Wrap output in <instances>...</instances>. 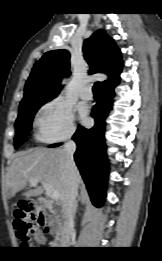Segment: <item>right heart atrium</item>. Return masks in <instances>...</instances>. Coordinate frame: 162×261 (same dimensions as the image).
Returning a JSON list of instances; mask_svg holds the SVG:
<instances>
[{
    "mask_svg": "<svg viewBox=\"0 0 162 261\" xmlns=\"http://www.w3.org/2000/svg\"><path fill=\"white\" fill-rule=\"evenodd\" d=\"M37 125L41 140L62 141L70 138L75 131L74 113L64 100L55 97L43 106Z\"/></svg>",
    "mask_w": 162,
    "mask_h": 261,
    "instance_id": "obj_1",
    "label": "right heart atrium"
}]
</instances>
